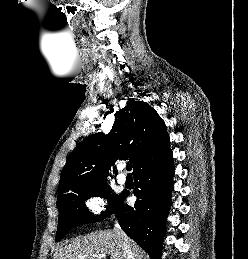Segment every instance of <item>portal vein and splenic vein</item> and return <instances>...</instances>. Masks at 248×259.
I'll return each instance as SVG.
<instances>
[{"label": "portal vein and splenic vein", "instance_id": "18ae733b", "mask_svg": "<svg viewBox=\"0 0 248 259\" xmlns=\"http://www.w3.org/2000/svg\"><path fill=\"white\" fill-rule=\"evenodd\" d=\"M98 257H99V259H106L105 255H103V254L99 255Z\"/></svg>", "mask_w": 248, "mask_h": 259}]
</instances>
